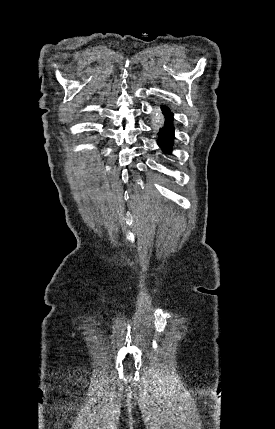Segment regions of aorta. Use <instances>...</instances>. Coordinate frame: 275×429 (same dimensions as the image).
I'll use <instances>...</instances> for the list:
<instances>
[{"label":"aorta","instance_id":"1","mask_svg":"<svg viewBox=\"0 0 275 429\" xmlns=\"http://www.w3.org/2000/svg\"><path fill=\"white\" fill-rule=\"evenodd\" d=\"M164 111L160 107H156L153 111V118L155 122L162 123L164 120Z\"/></svg>","mask_w":275,"mask_h":429}]
</instances>
